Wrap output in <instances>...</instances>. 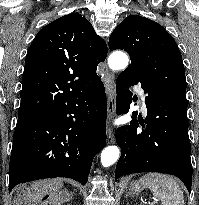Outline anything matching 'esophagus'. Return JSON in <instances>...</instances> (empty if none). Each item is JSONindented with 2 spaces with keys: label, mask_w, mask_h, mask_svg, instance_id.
<instances>
[{
  "label": "esophagus",
  "mask_w": 199,
  "mask_h": 205,
  "mask_svg": "<svg viewBox=\"0 0 199 205\" xmlns=\"http://www.w3.org/2000/svg\"><path fill=\"white\" fill-rule=\"evenodd\" d=\"M106 66V65H105ZM104 83L107 99H108V107H107V119H108V127H107V142L110 144L115 143V135L114 130L111 126V122L115 116V101H116V93L114 90V76L106 67V73L102 78Z\"/></svg>",
  "instance_id": "34e87169"
}]
</instances>
